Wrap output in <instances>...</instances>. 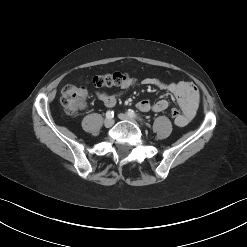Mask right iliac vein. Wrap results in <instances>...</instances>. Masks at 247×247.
Masks as SVG:
<instances>
[{
  "label": "right iliac vein",
  "instance_id": "obj_1",
  "mask_svg": "<svg viewBox=\"0 0 247 247\" xmlns=\"http://www.w3.org/2000/svg\"><path fill=\"white\" fill-rule=\"evenodd\" d=\"M114 124V120L112 118H107L105 119L104 121V125L105 127L109 128V127H112Z\"/></svg>",
  "mask_w": 247,
  "mask_h": 247
}]
</instances>
